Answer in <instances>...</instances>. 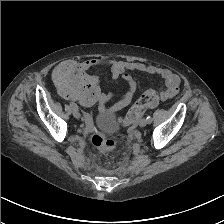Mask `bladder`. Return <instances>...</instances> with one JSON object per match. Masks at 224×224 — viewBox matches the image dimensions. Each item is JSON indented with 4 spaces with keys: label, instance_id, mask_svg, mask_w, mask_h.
<instances>
[{
    "label": "bladder",
    "instance_id": "obj_1",
    "mask_svg": "<svg viewBox=\"0 0 224 224\" xmlns=\"http://www.w3.org/2000/svg\"><path fill=\"white\" fill-rule=\"evenodd\" d=\"M95 124L102 132H114L117 129L115 111L113 109L103 110L96 116Z\"/></svg>",
    "mask_w": 224,
    "mask_h": 224
}]
</instances>
